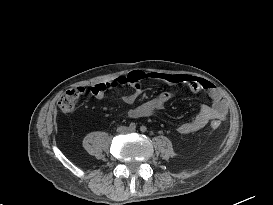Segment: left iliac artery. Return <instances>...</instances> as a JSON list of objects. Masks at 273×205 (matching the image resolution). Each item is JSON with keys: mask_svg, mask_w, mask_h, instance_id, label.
Masks as SVG:
<instances>
[{"mask_svg": "<svg viewBox=\"0 0 273 205\" xmlns=\"http://www.w3.org/2000/svg\"><path fill=\"white\" fill-rule=\"evenodd\" d=\"M140 130H141L142 132H146V131H147V128H146V126H141V127H140Z\"/></svg>", "mask_w": 273, "mask_h": 205, "instance_id": "left-iliac-artery-1", "label": "left iliac artery"}]
</instances>
